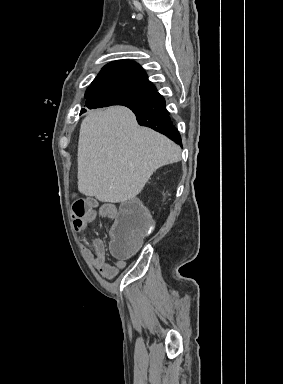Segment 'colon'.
Instances as JSON below:
<instances>
[{
  "label": "colon",
  "mask_w": 283,
  "mask_h": 384,
  "mask_svg": "<svg viewBox=\"0 0 283 384\" xmlns=\"http://www.w3.org/2000/svg\"><path fill=\"white\" fill-rule=\"evenodd\" d=\"M94 204L91 199L75 197L71 207L74 223H79ZM152 228V219L141 202L130 200L124 203L110 229L111 253L117 258L130 257L138 249L141 238Z\"/></svg>",
  "instance_id": "1"
}]
</instances>
